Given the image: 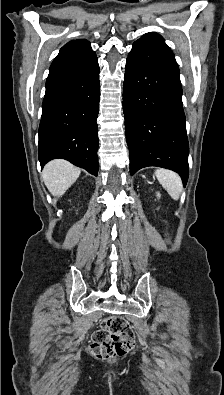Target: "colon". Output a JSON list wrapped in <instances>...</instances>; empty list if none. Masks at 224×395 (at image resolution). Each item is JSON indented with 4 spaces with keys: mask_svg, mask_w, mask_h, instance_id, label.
Here are the masks:
<instances>
[{
    "mask_svg": "<svg viewBox=\"0 0 224 395\" xmlns=\"http://www.w3.org/2000/svg\"><path fill=\"white\" fill-rule=\"evenodd\" d=\"M135 335L130 324L122 317H110L94 331L90 353L96 359H112L122 356L135 347Z\"/></svg>",
    "mask_w": 224,
    "mask_h": 395,
    "instance_id": "5ec220e1",
    "label": "colon"
}]
</instances>
